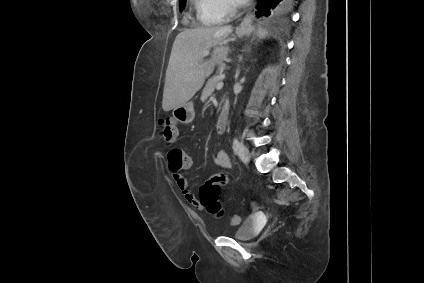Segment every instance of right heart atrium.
<instances>
[{
    "instance_id": "obj_1",
    "label": "right heart atrium",
    "mask_w": 424,
    "mask_h": 283,
    "mask_svg": "<svg viewBox=\"0 0 424 283\" xmlns=\"http://www.w3.org/2000/svg\"><path fill=\"white\" fill-rule=\"evenodd\" d=\"M199 9L206 14H214L221 19L233 15L237 8L236 0H199Z\"/></svg>"
}]
</instances>
